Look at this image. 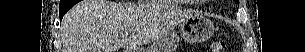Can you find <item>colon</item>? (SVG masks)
<instances>
[{"mask_svg":"<svg viewBox=\"0 0 305 52\" xmlns=\"http://www.w3.org/2000/svg\"><path fill=\"white\" fill-rule=\"evenodd\" d=\"M225 43L222 40L216 39L211 43V51L212 52H224L225 51Z\"/></svg>","mask_w":305,"mask_h":52,"instance_id":"obj_1","label":"colon"}]
</instances>
